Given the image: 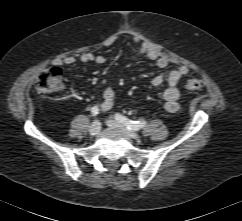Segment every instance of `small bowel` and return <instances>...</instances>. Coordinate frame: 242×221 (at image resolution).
<instances>
[{
    "label": "small bowel",
    "instance_id": "c3829d8e",
    "mask_svg": "<svg viewBox=\"0 0 242 221\" xmlns=\"http://www.w3.org/2000/svg\"><path fill=\"white\" fill-rule=\"evenodd\" d=\"M133 43L137 46V49L132 54V57L135 59L146 57L150 61L154 62L155 65L160 68L164 69L168 66L169 61L168 59L162 55L156 48H154L150 43H148L142 36L135 35L133 37ZM80 61L82 63H96V64H104L106 59L104 56L95 55L91 52L83 53L80 57ZM76 62L75 57L67 56L61 59L54 60L55 66H62V65H73ZM189 69L186 66H180L176 69L171 70L167 75L158 74L153 77L151 80V84L154 87H158L162 85L164 82L167 83V88L163 93L164 98V107L167 112L175 113L179 110V97L180 92L177 88V84L180 79L188 74ZM103 100L100 104V108L103 111L110 110L115 102V91L111 86L106 87L102 93Z\"/></svg>",
    "mask_w": 242,
    "mask_h": 221
}]
</instances>
